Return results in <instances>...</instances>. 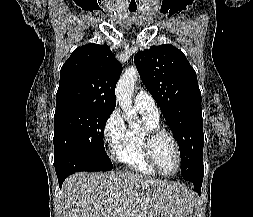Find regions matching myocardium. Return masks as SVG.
Wrapping results in <instances>:
<instances>
[{
  "label": "myocardium",
  "instance_id": "1",
  "mask_svg": "<svg viewBox=\"0 0 253 217\" xmlns=\"http://www.w3.org/2000/svg\"><path fill=\"white\" fill-rule=\"evenodd\" d=\"M162 135H166L167 137H169V139L173 143V146L176 152V160H177L176 168L170 174H166L161 170L154 155V143L157 140V138ZM143 150L148 162L156 170V172L160 174L161 176H164V177L174 176L179 171L181 167V151H180L179 143L175 135L171 131L162 127H155V128L148 129L145 132L144 137H143Z\"/></svg>",
  "mask_w": 253,
  "mask_h": 217
}]
</instances>
